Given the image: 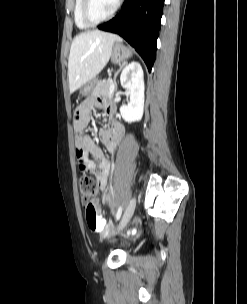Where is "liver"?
Segmentation results:
<instances>
[{"mask_svg":"<svg viewBox=\"0 0 247 304\" xmlns=\"http://www.w3.org/2000/svg\"><path fill=\"white\" fill-rule=\"evenodd\" d=\"M117 41H121L117 35L98 30L83 32L74 38L68 60L70 93L100 73L108 63Z\"/></svg>","mask_w":247,"mask_h":304,"instance_id":"liver-1","label":"liver"}]
</instances>
